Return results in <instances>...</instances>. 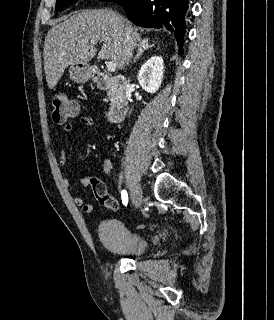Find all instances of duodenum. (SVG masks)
Segmentation results:
<instances>
[{
    "mask_svg": "<svg viewBox=\"0 0 274 320\" xmlns=\"http://www.w3.org/2000/svg\"><path fill=\"white\" fill-rule=\"evenodd\" d=\"M92 78L99 90H114V99L108 110V120L120 122L128 112V79L121 75L110 76L101 71H95Z\"/></svg>",
    "mask_w": 274,
    "mask_h": 320,
    "instance_id": "duodenum-1",
    "label": "duodenum"
}]
</instances>
